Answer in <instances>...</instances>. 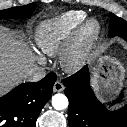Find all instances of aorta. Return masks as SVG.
<instances>
[{
	"instance_id": "obj_1",
	"label": "aorta",
	"mask_w": 127,
	"mask_h": 127,
	"mask_svg": "<svg viewBox=\"0 0 127 127\" xmlns=\"http://www.w3.org/2000/svg\"><path fill=\"white\" fill-rule=\"evenodd\" d=\"M52 106L56 110H64L68 107V99L64 94L58 93L52 97Z\"/></svg>"
}]
</instances>
